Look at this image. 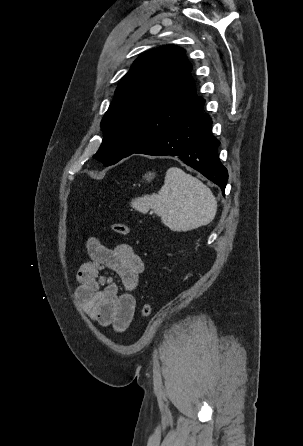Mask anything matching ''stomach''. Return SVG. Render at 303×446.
Segmentation results:
<instances>
[{
    "label": "stomach",
    "mask_w": 303,
    "mask_h": 446,
    "mask_svg": "<svg viewBox=\"0 0 303 446\" xmlns=\"http://www.w3.org/2000/svg\"><path fill=\"white\" fill-rule=\"evenodd\" d=\"M155 177V173L154 172H148L144 175V179H146L147 181H151L153 178Z\"/></svg>",
    "instance_id": "obj_1"
}]
</instances>
